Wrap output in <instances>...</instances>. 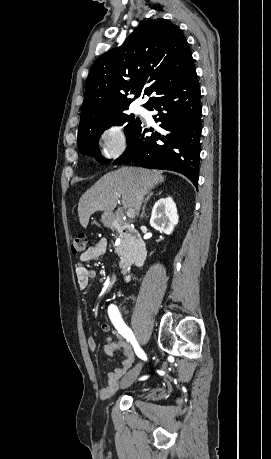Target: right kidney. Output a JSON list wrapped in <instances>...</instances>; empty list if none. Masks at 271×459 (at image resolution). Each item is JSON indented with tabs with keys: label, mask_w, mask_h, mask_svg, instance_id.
Masks as SVG:
<instances>
[{
	"label": "right kidney",
	"mask_w": 271,
	"mask_h": 459,
	"mask_svg": "<svg viewBox=\"0 0 271 459\" xmlns=\"http://www.w3.org/2000/svg\"><path fill=\"white\" fill-rule=\"evenodd\" d=\"M178 218L176 204L172 198H161L152 210L150 226L169 235L177 226Z\"/></svg>",
	"instance_id": "obj_1"
}]
</instances>
